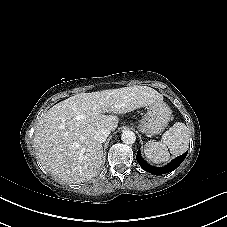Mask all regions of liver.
<instances>
[{"label": "liver", "instance_id": "obj_1", "mask_svg": "<svg viewBox=\"0 0 227 227\" xmlns=\"http://www.w3.org/2000/svg\"><path fill=\"white\" fill-rule=\"evenodd\" d=\"M162 99L147 86H129L101 92L79 93L51 107L34 132L39 163L67 183L95 177L102 164L103 147L94 135L99 129L114 131L117 114L149 106ZM109 112L110 115L102 113Z\"/></svg>", "mask_w": 227, "mask_h": 227}]
</instances>
